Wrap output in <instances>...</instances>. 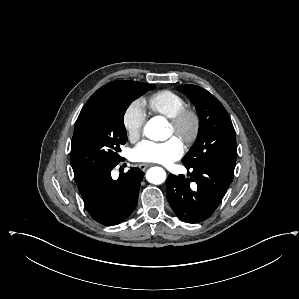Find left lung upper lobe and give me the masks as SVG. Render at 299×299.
<instances>
[{
    "label": "left lung upper lobe",
    "mask_w": 299,
    "mask_h": 299,
    "mask_svg": "<svg viewBox=\"0 0 299 299\" xmlns=\"http://www.w3.org/2000/svg\"><path fill=\"white\" fill-rule=\"evenodd\" d=\"M195 105L199 115V132L194 145L182 159L187 167L218 165L234 172L236 136L231 119L220 103L207 90L195 85H180Z\"/></svg>",
    "instance_id": "obj_1"
}]
</instances>
